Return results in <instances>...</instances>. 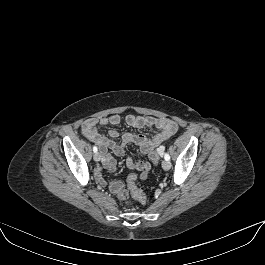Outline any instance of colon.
<instances>
[{"label": "colon", "instance_id": "5ec220e1", "mask_svg": "<svg viewBox=\"0 0 265 265\" xmlns=\"http://www.w3.org/2000/svg\"><path fill=\"white\" fill-rule=\"evenodd\" d=\"M164 151V147L159 146L156 149H154L151 154L149 155V158L154 164H157L160 160V157ZM137 175L132 173L127 178V187L131 193V195L140 203H146V195L145 193L139 189L136 185ZM110 191L115 194L119 199L121 200H127L128 199V191L124 188V185L119 181H112L109 185Z\"/></svg>", "mask_w": 265, "mask_h": 265}]
</instances>
